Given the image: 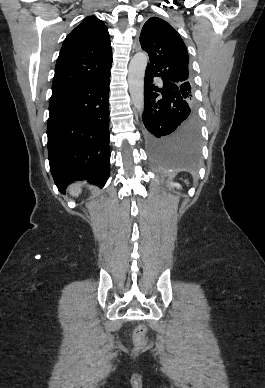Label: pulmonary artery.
<instances>
[{
	"mask_svg": "<svg viewBox=\"0 0 265 388\" xmlns=\"http://www.w3.org/2000/svg\"><path fill=\"white\" fill-rule=\"evenodd\" d=\"M155 80H156L157 82H160V81L162 80V77H161L160 75H157V76L155 77Z\"/></svg>",
	"mask_w": 265,
	"mask_h": 388,
	"instance_id": "obj_1",
	"label": "pulmonary artery"
}]
</instances>
